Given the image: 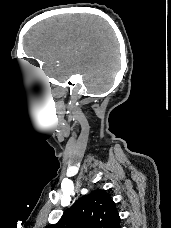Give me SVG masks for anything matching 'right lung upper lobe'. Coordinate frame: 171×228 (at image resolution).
I'll use <instances>...</instances> for the list:
<instances>
[{"label":"right lung upper lobe","mask_w":171,"mask_h":228,"mask_svg":"<svg viewBox=\"0 0 171 228\" xmlns=\"http://www.w3.org/2000/svg\"><path fill=\"white\" fill-rule=\"evenodd\" d=\"M115 203L105 190H95L77 200L56 224L46 228H120Z\"/></svg>","instance_id":"1"}]
</instances>
